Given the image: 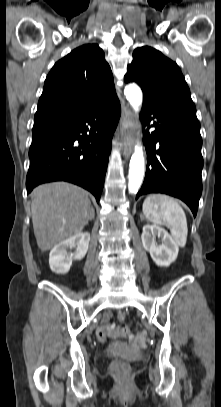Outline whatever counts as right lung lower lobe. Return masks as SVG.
I'll return each instance as SVG.
<instances>
[{"label": "right lung lower lobe", "mask_w": 221, "mask_h": 407, "mask_svg": "<svg viewBox=\"0 0 221 407\" xmlns=\"http://www.w3.org/2000/svg\"><path fill=\"white\" fill-rule=\"evenodd\" d=\"M119 116L115 97L79 115L35 125L27 193L41 183L63 180L87 189L99 202Z\"/></svg>", "instance_id": "obj_1"}]
</instances>
